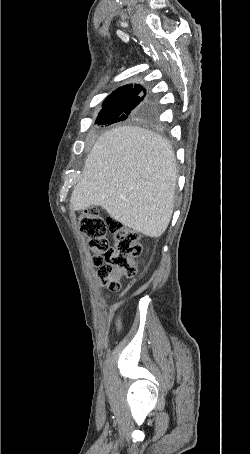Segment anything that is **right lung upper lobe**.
Returning <instances> with one entry per match:
<instances>
[{
  "label": "right lung upper lobe",
  "mask_w": 250,
  "mask_h": 454,
  "mask_svg": "<svg viewBox=\"0 0 250 454\" xmlns=\"http://www.w3.org/2000/svg\"><path fill=\"white\" fill-rule=\"evenodd\" d=\"M137 86H141V85H135L134 87H137ZM132 86V84H129V85H125L123 87H120L118 88L116 91H114L113 93H111V95H109L107 98H112V97H116V96H119L121 93L129 90V89H132L134 88ZM124 94V93H123Z\"/></svg>",
  "instance_id": "cb5924a9"
}]
</instances>
